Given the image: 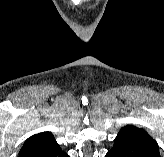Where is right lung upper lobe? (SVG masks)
I'll return each mask as SVG.
<instances>
[{"label": "right lung upper lobe", "mask_w": 164, "mask_h": 157, "mask_svg": "<svg viewBox=\"0 0 164 157\" xmlns=\"http://www.w3.org/2000/svg\"><path fill=\"white\" fill-rule=\"evenodd\" d=\"M53 140L55 139L51 132H42V133L33 135L25 141V143L23 144V147L21 148L19 152L18 157H25L29 152H31L35 148Z\"/></svg>", "instance_id": "obj_1"}]
</instances>
